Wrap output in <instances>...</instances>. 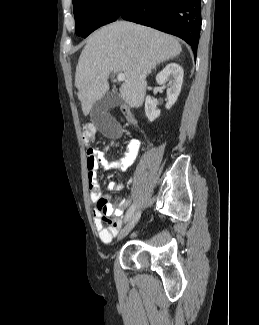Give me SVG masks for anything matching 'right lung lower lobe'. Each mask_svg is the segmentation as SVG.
<instances>
[{
  "mask_svg": "<svg viewBox=\"0 0 259 325\" xmlns=\"http://www.w3.org/2000/svg\"><path fill=\"white\" fill-rule=\"evenodd\" d=\"M118 18L182 38L196 57L201 30V0H126Z\"/></svg>",
  "mask_w": 259,
  "mask_h": 325,
  "instance_id": "right-lung-lower-lobe-1",
  "label": "right lung lower lobe"
}]
</instances>
